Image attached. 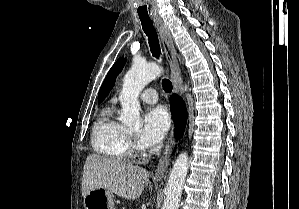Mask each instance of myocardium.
<instances>
[{
	"label": "myocardium",
	"instance_id": "1",
	"mask_svg": "<svg viewBox=\"0 0 299 209\" xmlns=\"http://www.w3.org/2000/svg\"><path fill=\"white\" fill-rule=\"evenodd\" d=\"M129 154L135 158H142L145 156V150L135 140L129 144Z\"/></svg>",
	"mask_w": 299,
	"mask_h": 209
}]
</instances>
